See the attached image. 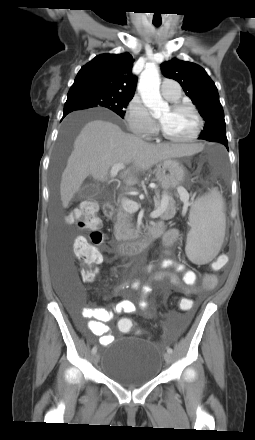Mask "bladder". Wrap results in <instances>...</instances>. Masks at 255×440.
Returning <instances> with one entry per match:
<instances>
[{
	"label": "bladder",
	"mask_w": 255,
	"mask_h": 440,
	"mask_svg": "<svg viewBox=\"0 0 255 440\" xmlns=\"http://www.w3.org/2000/svg\"><path fill=\"white\" fill-rule=\"evenodd\" d=\"M126 345L119 342L107 345L102 362V373L118 385L136 389L151 381L162 367V354L152 343L143 339L123 338Z\"/></svg>",
	"instance_id": "bladder-1"
}]
</instances>
